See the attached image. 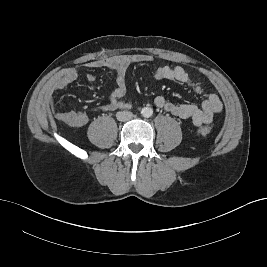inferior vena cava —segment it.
Returning <instances> with one entry per match:
<instances>
[{
	"label": "inferior vena cava",
	"instance_id": "1",
	"mask_svg": "<svg viewBox=\"0 0 267 267\" xmlns=\"http://www.w3.org/2000/svg\"><path fill=\"white\" fill-rule=\"evenodd\" d=\"M116 117L119 121L125 122V121L131 120L134 117V115L130 111H120V112H117Z\"/></svg>",
	"mask_w": 267,
	"mask_h": 267
}]
</instances>
